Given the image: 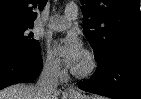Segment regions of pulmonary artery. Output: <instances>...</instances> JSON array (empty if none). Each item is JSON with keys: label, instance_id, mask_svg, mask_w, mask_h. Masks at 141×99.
<instances>
[{"label": "pulmonary artery", "instance_id": "e3ab8cb5", "mask_svg": "<svg viewBox=\"0 0 141 99\" xmlns=\"http://www.w3.org/2000/svg\"><path fill=\"white\" fill-rule=\"evenodd\" d=\"M78 15V8L74 4H69L65 8L64 15H56L50 18L48 28L54 31H62L70 26L72 20Z\"/></svg>", "mask_w": 141, "mask_h": 99}]
</instances>
